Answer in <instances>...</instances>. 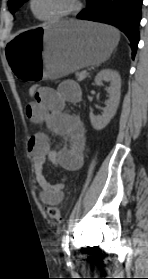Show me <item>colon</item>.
Here are the masks:
<instances>
[{
	"mask_svg": "<svg viewBox=\"0 0 148 279\" xmlns=\"http://www.w3.org/2000/svg\"><path fill=\"white\" fill-rule=\"evenodd\" d=\"M41 87L39 85H32L29 87L28 94L30 97L36 98L39 96ZM47 214L50 218L60 221L62 220V213L60 208L56 205H51L47 208Z\"/></svg>",
	"mask_w": 148,
	"mask_h": 279,
	"instance_id": "5ec220e1",
	"label": "colon"
}]
</instances>
